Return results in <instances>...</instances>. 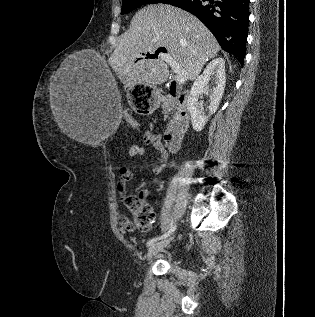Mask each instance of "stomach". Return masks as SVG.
<instances>
[{
  "mask_svg": "<svg viewBox=\"0 0 315 317\" xmlns=\"http://www.w3.org/2000/svg\"><path fill=\"white\" fill-rule=\"evenodd\" d=\"M129 94L131 95V108L135 114H156L158 108V97L154 84H130Z\"/></svg>",
  "mask_w": 315,
  "mask_h": 317,
  "instance_id": "stomach-1",
  "label": "stomach"
}]
</instances>
